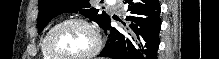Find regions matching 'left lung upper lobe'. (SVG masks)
I'll return each mask as SVG.
<instances>
[{"mask_svg":"<svg viewBox=\"0 0 219 59\" xmlns=\"http://www.w3.org/2000/svg\"><path fill=\"white\" fill-rule=\"evenodd\" d=\"M38 33L53 19L56 15L66 12L81 13L92 21H95L100 27H103L110 17L91 6L89 0H39L38 4Z\"/></svg>","mask_w":219,"mask_h":59,"instance_id":"obj_1","label":"left lung upper lobe"}]
</instances>
